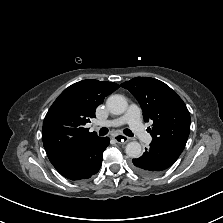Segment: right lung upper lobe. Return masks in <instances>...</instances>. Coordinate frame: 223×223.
<instances>
[{
	"mask_svg": "<svg viewBox=\"0 0 223 223\" xmlns=\"http://www.w3.org/2000/svg\"><path fill=\"white\" fill-rule=\"evenodd\" d=\"M112 82L83 80L66 88L48 110L43 123V145L51 163L74 154L98 138L85 124L95 109L117 90Z\"/></svg>",
	"mask_w": 223,
	"mask_h": 223,
	"instance_id": "cb5924a9",
	"label": "right lung upper lobe"
}]
</instances>
